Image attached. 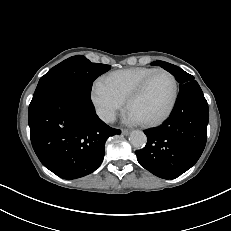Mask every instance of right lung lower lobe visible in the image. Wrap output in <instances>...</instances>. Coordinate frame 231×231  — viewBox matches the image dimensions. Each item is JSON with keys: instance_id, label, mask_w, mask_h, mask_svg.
I'll return each mask as SVG.
<instances>
[{"instance_id": "98d812e1", "label": "right lung lower lobe", "mask_w": 231, "mask_h": 231, "mask_svg": "<svg viewBox=\"0 0 231 231\" xmlns=\"http://www.w3.org/2000/svg\"><path fill=\"white\" fill-rule=\"evenodd\" d=\"M28 123L39 160L64 179L95 171L102 163L106 140L121 133L96 115L90 95L69 86L31 102Z\"/></svg>"}]
</instances>
